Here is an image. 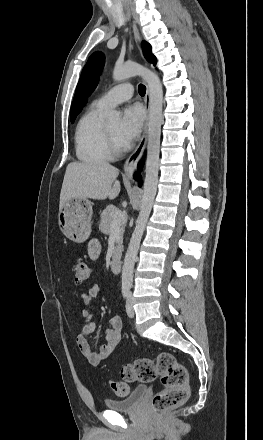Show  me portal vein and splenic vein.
Returning a JSON list of instances; mask_svg holds the SVG:
<instances>
[{
    "label": "portal vein and splenic vein",
    "instance_id": "portal-vein-and-splenic-vein-1",
    "mask_svg": "<svg viewBox=\"0 0 263 440\" xmlns=\"http://www.w3.org/2000/svg\"><path fill=\"white\" fill-rule=\"evenodd\" d=\"M123 219V213L121 211H117L114 216V220L111 224V229H115L121 225Z\"/></svg>",
    "mask_w": 263,
    "mask_h": 440
}]
</instances>
